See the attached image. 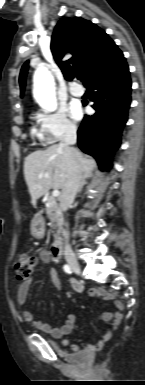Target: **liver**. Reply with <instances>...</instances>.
Listing matches in <instances>:
<instances>
[{
	"mask_svg": "<svg viewBox=\"0 0 145 385\" xmlns=\"http://www.w3.org/2000/svg\"><path fill=\"white\" fill-rule=\"evenodd\" d=\"M67 154L68 151L65 148L54 144L46 150L32 152L25 158L24 177L33 205L51 188H63L69 170ZM75 154L78 157L81 174L90 177L96 168L95 160L84 156L77 149H75ZM40 175H42L41 178Z\"/></svg>",
	"mask_w": 145,
	"mask_h": 385,
	"instance_id": "liver-1",
	"label": "liver"
}]
</instances>
